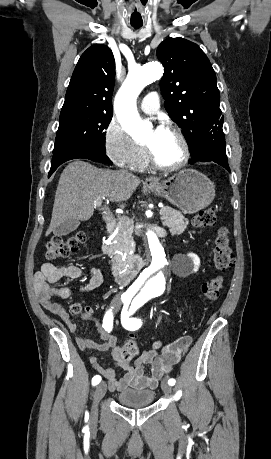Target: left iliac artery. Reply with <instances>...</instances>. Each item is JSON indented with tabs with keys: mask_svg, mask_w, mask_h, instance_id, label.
Masks as SVG:
<instances>
[{
	"mask_svg": "<svg viewBox=\"0 0 271 459\" xmlns=\"http://www.w3.org/2000/svg\"><path fill=\"white\" fill-rule=\"evenodd\" d=\"M135 309H137V305L132 303L131 307L124 306L121 312V323L125 329L130 331L137 330L142 325L141 319L129 318V316H134ZM175 382L176 381L173 378L168 380V384L171 386H173Z\"/></svg>",
	"mask_w": 271,
	"mask_h": 459,
	"instance_id": "left-iliac-artery-1",
	"label": "left iliac artery"
}]
</instances>
